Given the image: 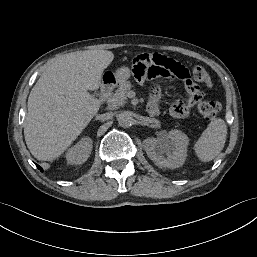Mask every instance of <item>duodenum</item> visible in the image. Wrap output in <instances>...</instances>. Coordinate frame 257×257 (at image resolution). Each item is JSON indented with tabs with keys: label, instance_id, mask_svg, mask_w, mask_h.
<instances>
[{
	"label": "duodenum",
	"instance_id": "410a0bca",
	"mask_svg": "<svg viewBox=\"0 0 257 257\" xmlns=\"http://www.w3.org/2000/svg\"><path fill=\"white\" fill-rule=\"evenodd\" d=\"M113 87H114L113 77L104 78L101 89H100V96H99L100 102L103 103L109 98V96L113 90ZM148 109L151 112H154V109L151 106H149Z\"/></svg>",
	"mask_w": 257,
	"mask_h": 257
}]
</instances>
